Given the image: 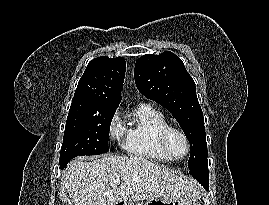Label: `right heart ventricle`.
<instances>
[{
    "instance_id": "right-heart-ventricle-1",
    "label": "right heart ventricle",
    "mask_w": 269,
    "mask_h": 205,
    "mask_svg": "<svg viewBox=\"0 0 269 205\" xmlns=\"http://www.w3.org/2000/svg\"><path fill=\"white\" fill-rule=\"evenodd\" d=\"M165 115L150 105H141L135 114L134 123L126 130L124 150L133 157L159 163L172 160L159 149L157 137L168 126Z\"/></svg>"
}]
</instances>
